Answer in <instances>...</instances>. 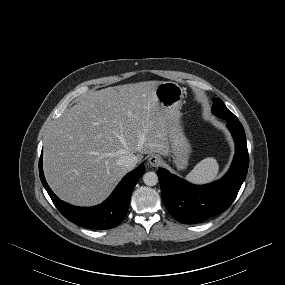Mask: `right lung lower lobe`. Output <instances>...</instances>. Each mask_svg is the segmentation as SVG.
I'll return each mask as SVG.
<instances>
[{
	"mask_svg": "<svg viewBox=\"0 0 285 285\" xmlns=\"http://www.w3.org/2000/svg\"><path fill=\"white\" fill-rule=\"evenodd\" d=\"M145 166L140 165L129 172L117 185L110 197L94 207H76L61 201L48 186L42 169V154L39 161V175L43 186L54 205L69 221L91 229H110L119 225L124 219L130 202L133 188L144 174Z\"/></svg>",
	"mask_w": 285,
	"mask_h": 285,
	"instance_id": "1",
	"label": "right lung lower lobe"
}]
</instances>
